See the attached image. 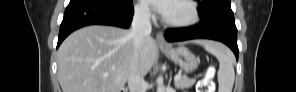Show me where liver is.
<instances>
[{
  "mask_svg": "<svg viewBox=\"0 0 296 92\" xmlns=\"http://www.w3.org/2000/svg\"><path fill=\"white\" fill-rule=\"evenodd\" d=\"M157 54L155 40L146 36L137 57L142 76L150 71ZM133 56L129 30L100 25L81 28L69 35L58 49L61 88L63 92H121L129 77Z\"/></svg>",
  "mask_w": 296,
  "mask_h": 92,
  "instance_id": "liver-1",
  "label": "liver"
}]
</instances>
